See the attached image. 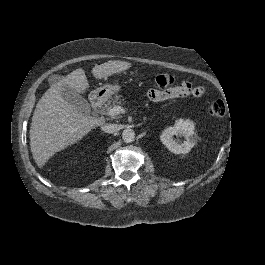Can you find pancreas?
Returning <instances> with one entry per match:
<instances>
[{
	"instance_id": "pancreas-1",
	"label": "pancreas",
	"mask_w": 265,
	"mask_h": 265,
	"mask_svg": "<svg viewBox=\"0 0 265 265\" xmlns=\"http://www.w3.org/2000/svg\"><path fill=\"white\" fill-rule=\"evenodd\" d=\"M120 98V95H114V97L108 100L107 104L104 106L106 113L109 112L113 107L124 104V101H121Z\"/></svg>"
}]
</instances>
